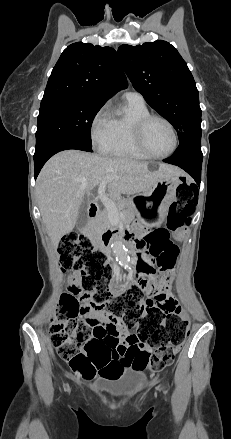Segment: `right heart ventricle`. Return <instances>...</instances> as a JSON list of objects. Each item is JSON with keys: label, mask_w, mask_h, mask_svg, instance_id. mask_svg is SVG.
<instances>
[{"label": "right heart ventricle", "mask_w": 231, "mask_h": 439, "mask_svg": "<svg viewBox=\"0 0 231 439\" xmlns=\"http://www.w3.org/2000/svg\"><path fill=\"white\" fill-rule=\"evenodd\" d=\"M149 114L145 102L127 99L123 109L110 117L109 138L100 147L101 152L127 159H148L137 147L134 131L138 121Z\"/></svg>", "instance_id": "obj_1"}]
</instances>
